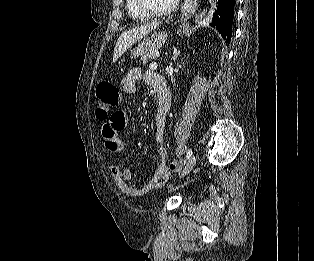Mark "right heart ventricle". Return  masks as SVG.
<instances>
[{
    "label": "right heart ventricle",
    "instance_id": "obj_1",
    "mask_svg": "<svg viewBox=\"0 0 314 261\" xmlns=\"http://www.w3.org/2000/svg\"><path fill=\"white\" fill-rule=\"evenodd\" d=\"M126 8L129 16L134 20L144 21L150 17L139 9L136 0H126Z\"/></svg>",
    "mask_w": 314,
    "mask_h": 261
}]
</instances>
